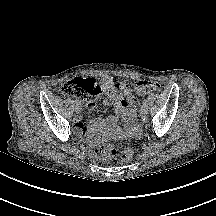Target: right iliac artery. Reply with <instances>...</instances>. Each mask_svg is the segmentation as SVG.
<instances>
[{
  "instance_id": "82829eb1",
  "label": "right iliac artery",
  "mask_w": 216,
  "mask_h": 216,
  "mask_svg": "<svg viewBox=\"0 0 216 216\" xmlns=\"http://www.w3.org/2000/svg\"><path fill=\"white\" fill-rule=\"evenodd\" d=\"M75 105H76V106H80V105H81V102H80V101H76V102H75Z\"/></svg>"
}]
</instances>
